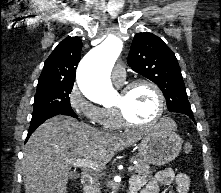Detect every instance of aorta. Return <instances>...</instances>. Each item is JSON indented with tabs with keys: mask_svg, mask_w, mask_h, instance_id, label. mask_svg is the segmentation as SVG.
<instances>
[{
	"mask_svg": "<svg viewBox=\"0 0 221 193\" xmlns=\"http://www.w3.org/2000/svg\"><path fill=\"white\" fill-rule=\"evenodd\" d=\"M121 50V40L110 37L82 59L77 69V83L88 99L103 104L115 96L109 72Z\"/></svg>",
	"mask_w": 221,
	"mask_h": 193,
	"instance_id": "1",
	"label": "aorta"
}]
</instances>
